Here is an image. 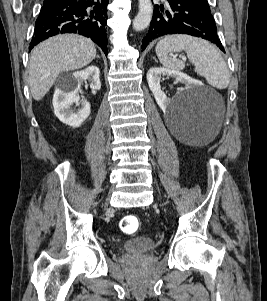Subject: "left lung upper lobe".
<instances>
[{"label":"left lung upper lobe","mask_w":267,"mask_h":301,"mask_svg":"<svg viewBox=\"0 0 267 301\" xmlns=\"http://www.w3.org/2000/svg\"><path fill=\"white\" fill-rule=\"evenodd\" d=\"M198 4H200L201 6L210 9L207 0H195Z\"/></svg>","instance_id":"left-lung-upper-lobe-1"}]
</instances>
